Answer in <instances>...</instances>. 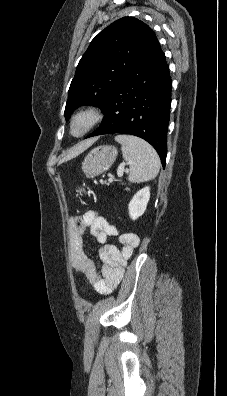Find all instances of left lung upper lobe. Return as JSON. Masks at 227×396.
Masks as SVG:
<instances>
[{"mask_svg":"<svg viewBox=\"0 0 227 396\" xmlns=\"http://www.w3.org/2000/svg\"><path fill=\"white\" fill-rule=\"evenodd\" d=\"M159 43L153 30L123 17L102 30L79 61L68 91L65 118L79 106L103 108L138 62Z\"/></svg>","mask_w":227,"mask_h":396,"instance_id":"left-lung-upper-lobe-1","label":"left lung upper lobe"}]
</instances>
